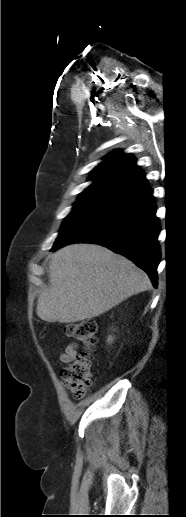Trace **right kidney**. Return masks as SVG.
<instances>
[{
  "instance_id": "1",
  "label": "right kidney",
  "mask_w": 186,
  "mask_h": 517,
  "mask_svg": "<svg viewBox=\"0 0 186 517\" xmlns=\"http://www.w3.org/2000/svg\"><path fill=\"white\" fill-rule=\"evenodd\" d=\"M112 341H113V338L110 336V337L108 338V342H112Z\"/></svg>"
}]
</instances>
